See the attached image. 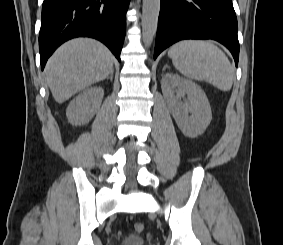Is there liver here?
<instances>
[{
  "mask_svg": "<svg viewBox=\"0 0 283 245\" xmlns=\"http://www.w3.org/2000/svg\"><path fill=\"white\" fill-rule=\"evenodd\" d=\"M113 71V57L102 43L89 38L59 47L45 67L46 82L58 103L104 80Z\"/></svg>",
  "mask_w": 283,
  "mask_h": 245,
  "instance_id": "obj_1",
  "label": "liver"
}]
</instances>
